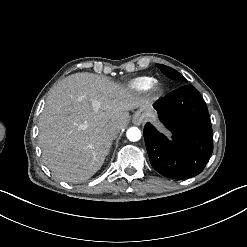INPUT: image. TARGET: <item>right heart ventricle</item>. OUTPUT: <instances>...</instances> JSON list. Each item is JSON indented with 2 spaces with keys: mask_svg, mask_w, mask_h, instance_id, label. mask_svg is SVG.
Wrapping results in <instances>:
<instances>
[{
  "mask_svg": "<svg viewBox=\"0 0 247 247\" xmlns=\"http://www.w3.org/2000/svg\"><path fill=\"white\" fill-rule=\"evenodd\" d=\"M157 80L154 77H138L129 83V88L137 93L148 91L156 84Z\"/></svg>",
  "mask_w": 247,
  "mask_h": 247,
  "instance_id": "1",
  "label": "right heart ventricle"
}]
</instances>
